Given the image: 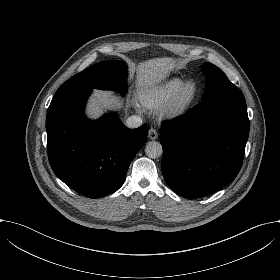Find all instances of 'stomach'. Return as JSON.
Masks as SVG:
<instances>
[{
  "mask_svg": "<svg viewBox=\"0 0 280 280\" xmlns=\"http://www.w3.org/2000/svg\"><path fill=\"white\" fill-rule=\"evenodd\" d=\"M180 61H181L180 59H177V60H174V59H173V60H172V62H173V64H174V65L179 64V63H180Z\"/></svg>",
  "mask_w": 280,
  "mask_h": 280,
  "instance_id": "0dacf381",
  "label": "stomach"
}]
</instances>
